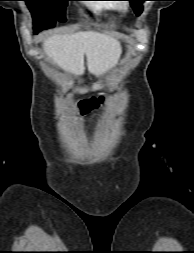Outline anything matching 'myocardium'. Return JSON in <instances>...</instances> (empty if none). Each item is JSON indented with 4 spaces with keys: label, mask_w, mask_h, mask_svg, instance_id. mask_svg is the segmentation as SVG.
Returning <instances> with one entry per match:
<instances>
[{
    "label": "myocardium",
    "mask_w": 194,
    "mask_h": 253,
    "mask_svg": "<svg viewBox=\"0 0 194 253\" xmlns=\"http://www.w3.org/2000/svg\"><path fill=\"white\" fill-rule=\"evenodd\" d=\"M120 11L127 12L130 9V5L127 2H123L119 4Z\"/></svg>",
    "instance_id": "f54148a6"
}]
</instances>
